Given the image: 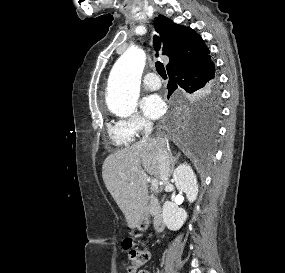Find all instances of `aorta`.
Returning a JSON list of instances; mask_svg holds the SVG:
<instances>
[{
  "label": "aorta",
  "mask_w": 285,
  "mask_h": 273,
  "mask_svg": "<svg viewBox=\"0 0 285 273\" xmlns=\"http://www.w3.org/2000/svg\"><path fill=\"white\" fill-rule=\"evenodd\" d=\"M145 60L142 49L131 47L112 67L106 95V104L112 113L129 116L135 111Z\"/></svg>",
  "instance_id": "762f6f07"
}]
</instances>
